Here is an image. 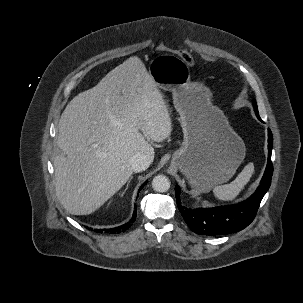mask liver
I'll use <instances>...</instances> for the list:
<instances>
[{"mask_svg":"<svg viewBox=\"0 0 303 303\" xmlns=\"http://www.w3.org/2000/svg\"><path fill=\"white\" fill-rule=\"evenodd\" d=\"M152 141L172 132L166 102L142 60L133 56L111 70L93 88L79 93L59 121L54 157L56 195L74 215L102 206L130 178L131 158L152 161Z\"/></svg>","mask_w":303,"mask_h":303,"instance_id":"1","label":"liver"}]
</instances>
